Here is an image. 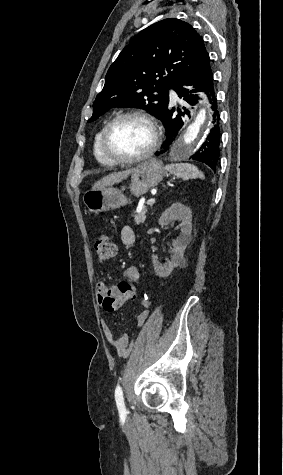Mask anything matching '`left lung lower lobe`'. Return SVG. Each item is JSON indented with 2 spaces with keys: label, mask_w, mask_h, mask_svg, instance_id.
Returning a JSON list of instances; mask_svg holds the SVG:
<instances>
[{
  "label": "left lung lower lobe",
  "mask_w": 283,
  "mask_h": 475,
  "mask_svg": "<svg viewBox=\"0 0 283 475\" xmlns=\"http://www.w3.org/2000/svg\"><path fill=\"white\" fill-rule=\"evenodd\" d=\"M193 86V88L189 87ZM178 96L190 105H194L197 101V97L193 94L195 92H204L207 95L208 101L211 104L213 113V127L207 136L206 141L201 145L198 151L191 156V159L206 163L211 168L215 169L218 158L220 155V127H219V112L217 110V99L214 89L213 74L210 68V59L204 61L196 68L190 70L184 74L172 87ZM175 108L167 106L164 113L161 115V119L165 125L166 140L162 144L156 155H161L167 152L170 145L174 141L178 134V131L184 124V114H189L187 111L181 112L178 109L179 114L175 115L173 112Z\"/></svg>",
  "instance_id": "1"
}]
</instances>
